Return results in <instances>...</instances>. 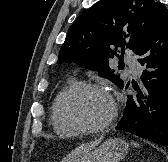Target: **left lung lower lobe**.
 <instances>
[{
	"label": "left lung lower lobe",
	"instance_id": "1",
	"mask_svg": "<svg viewBox=\"0 0 168 162\" xmlns=\"http://www.w3.org/2000/svg\"><path fill=\"white\" fill-rule=\"evenodd\" d=\"M136 55L145 70L137 95H129L115 129L128 131L168 149V15ZM128 85H126V88Z\"/></svg>",
	"mask_w": 168,
	"mask_h": 162
}]
</instances>
